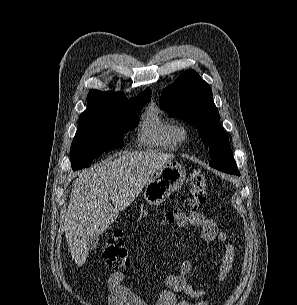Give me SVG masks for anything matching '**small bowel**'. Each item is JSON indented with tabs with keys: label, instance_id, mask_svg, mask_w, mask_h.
Returning a JSON list of instances; mask_svg holds the SVG:
<instances>
[{
	"label": "small bowel",
	"instance_id": "1",
	"mask_svg": "<svg viewBox=\"0 0 297 305\" xmlns=\"http://www.w3.org/2000/svg\"><path fill=\"white\" fill-rule=\"evenodd\" d=\"M174 223L178 227L195 226L200 228L204 242L218 241L225 247L219 268V282L230 272L235 250L230 244L226 233L218 228L215 222L206 219L200 212L188 214L179 213L175 216ZM192 270V263L185 260L177 273L169 275L165 280L166 288L152 302H146L124 284L121 272H113L107 281L109 305H191L186 300H181L178 295L185 294L192 298H202L209 293L208 289L199 288L187 279Z\"/></svg>",
	"mask_w": 297,
	"mask_h": 305
}]
</instances>
